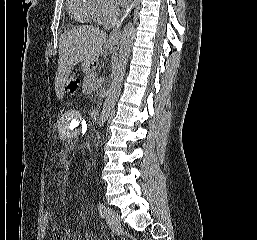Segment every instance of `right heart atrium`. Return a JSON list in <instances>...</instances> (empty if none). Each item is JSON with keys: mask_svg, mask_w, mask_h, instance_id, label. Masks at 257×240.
Returning a JSON list of instances; mask_svg holds the SVG:
<instances>
[{"mask_svg": "<svg viewBox=\"0 0 257 240\" xmlns=\"http://www.w3.org/2000/svg\"><path fill=\"white\" fill-rule=\"evenodd\" d=\"M116 14V7L111 0H95L93 19L97 23H104Z\"/></svg>", "mask_w": 257, "mask_h": 240, "instance_id": "d8ad5b80", "label": "right heart atrium"}]
</instances>
